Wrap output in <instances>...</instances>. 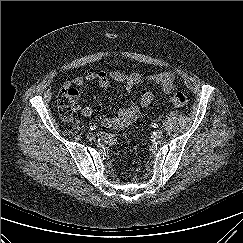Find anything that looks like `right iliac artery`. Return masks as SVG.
Segmentation results:
<instances>
[{
  "mask_svg": "<svg viewBox=\"0 0 243 243\" xmlns=\"http://www.w3.org/2000/svg\"><path fill=\"white\" fill-rule=\"evenodd\" d=\"M96 128H97V126L95 124L90 126L91 130H95Z\"/></svg>",
  "mask_w": 243,
  "mask_h": 243,
  "instance_id": "obj_1",
  "label": "right iliac artery"
}]
</instances>
